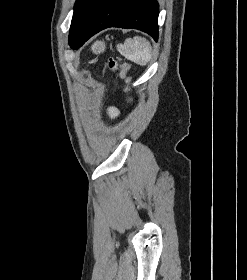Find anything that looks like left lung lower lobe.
<instances>
[{
  "instance_id": "0a47b994",
  "label": "left lung lower lobe",
  "mask_w": 247,
  "mask_h": 280,
  "mask_svg": "<svg viewBox=\"0 0 247 280\" xmlns=\"http://www.w3.org/2000/svg\"><path fill=\"white\" fill-rule=\"evenodd\" d=\"M159 6L156 0H101L89 13L69 44L78 49L90 37L108 27L134 28L158 40Z\"/></svg>"
}]
</instances>
